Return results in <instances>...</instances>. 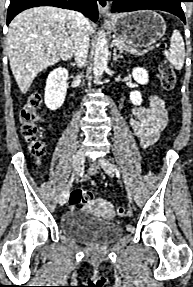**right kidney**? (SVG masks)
<instances>
[{"instance_id":"obj_1","label":"right kidney","mask_w":193,"mask_h":287,"mask_svg":"<svg viewBox=\"0 0 193 287\" xmlns=\"http://www.w3.org/2000/svg\"><path fill=\"white\" fill-rule=\"evenodd\" d=\"M68 72L65 68L54 69L48 75L45 87V104L50 110L59 109L67 92Z\"/></svg>"}]
</instances>
